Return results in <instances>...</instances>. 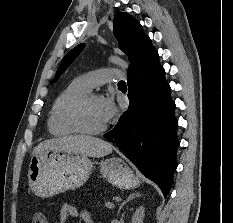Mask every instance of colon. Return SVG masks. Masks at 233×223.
Segmentation results:
<instances>
[{
	"mask_svg": "<svg viewBox=\"0 0 233 223\" xmlns=\"http://www.w3.org/2000/svg\"><path fill=\"white\" fill-rule=\"evenodd\" d=\"M33 223H45V219L43 218L42 215H39V214H36L34 217H33Z\"/></svg>",
	"mask_w": 233,
	"mask_h": 223,
	"instance_id": "colon-1",
	"label": "colon"
}]
</instances>
